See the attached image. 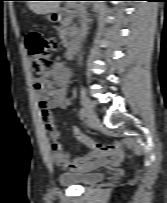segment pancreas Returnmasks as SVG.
I'll use <instances>...</instances> for the list:
<instances>
[{
  "label": "pancreas",
  "instance_id": "cf45deb5",
  "mask_svg": "<svg viewBox=\"0 0 167 203\" xmlns=\"http://www.w3.org/2000/svg\"><path fill=\"white\" fill-rule=\"evenodd\" d=\"M76 34V26L72 22L65 19L62 22V28L60 29L59 35L62 39V43L65 47L68 46V39Z\"/></svg>",
  "mask_w": 167,
  "mask_h": 203
}]
</instances>
